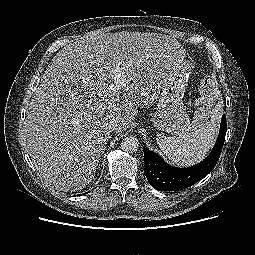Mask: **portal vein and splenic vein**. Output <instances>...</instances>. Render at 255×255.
Masks as SVG:
<instances>
[{"mask_svg": "<svg viewBox=\"0 0 255 255\" xmlns=\"http://www.w3.org/2000/svg\"><path fill=\"white\" fill-rule=\"evenodd\" d=\"M121 72H122V68H120L119 66L113 67L110 71L111 73V77L114 81H116V83L118 84V86L123 85V80L121 77Z\"/></svg>", "mask_w": 255, "mask_h": 255, "instance_id": "1", "label": "portal vein and splenic vein"}]
</instances>
